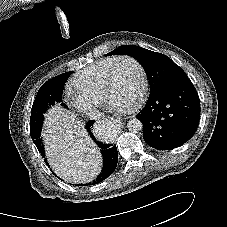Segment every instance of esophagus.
<instances>
[{
    "label": "esophagus",
    "instance_id": "obj_1",
    "mask_svg": "<svg viewBox=\"0 0 227 227\" xmlns=\"http://www.w3.org/2000/svg\"><path fill=\"white\" fill-rule=\"evenodd\" d=\"M111 120L113 121V123H115V124H120L121 122H120V119H113V118H111Z\"/></svg>",
    "mask_w": 227,
    "mask_h": 227
}]
</instances>
